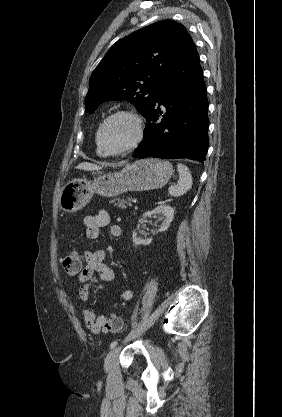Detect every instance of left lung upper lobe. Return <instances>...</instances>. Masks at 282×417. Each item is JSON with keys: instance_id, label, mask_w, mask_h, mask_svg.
Returning a JSON list of instances; mask_svg holds the SVG:
<instances>
[{"instance_id": "5c2ea615", "label": "left lung upper lobe", "mask_w": 282, "mask_h": 417, "mask_svg": "<svg viewBox=\"0 0 282 417\" xmlns=\"http://www.w3.org/2000/svg\"><path fill=\"white\" fill-rule=\"evenodd\" d=\"M193 43L186 28L163 20L117 41L93 71L86 112L106 100L126 99L145 117L168 70Z\"/></svg>"}]
</instances>
